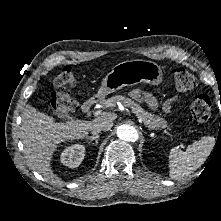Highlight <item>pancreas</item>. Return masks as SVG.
Returning a JSON list of instances; mask_svg holds the SVG:
<instances>
[{
  "label": "pancreas",
  "instance_id": "1",
  "mask_svg": "<svg viewBox=\"0 0 221 221\" xmlns=\"http://www.w3.org/2000/svg\"><path fill=\"white\" fill-rule=\"evenodd\" d=\"M116 102H121L125 107L130 108L132 112L137 116V118L143 121V123L149 129L157 130L166 128L168 126L163 118L144 111V109L139 104L135 103L130 98L121 95H116L109 99L103 100L101 103L104 107L111 108L116 105Z\"/></svg>",
  "mask_w": 221,
  "mask_h": 221
}]
</instances>
